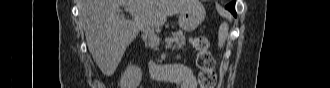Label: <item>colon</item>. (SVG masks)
<instances>
[{"label":"colon","instance_id":"5ec220e1","mask_svg":"<svg viewBox=\"0 0 330 88\" xmlns=\"http://www.w3.org/2000/svg\"><path fill=\"white\" fill-rule=\"evenodd\" d=\"M210 41L205 36L192 39V48L197 54V66L200 69L199 84L201 88H214L216 85L215 61L210 52Z\"/></svg>","mask_w":330,"mask_h":88}]
</instances>
